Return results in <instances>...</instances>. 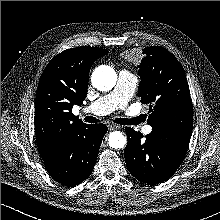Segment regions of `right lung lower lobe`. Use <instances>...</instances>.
Returning a JSON list of instances; mask_svg holds the SVG:
<instances>
[{"label": "right lung lower lobe", "mask_w": 220, "mask_h": 220, "mask_svg": "<svg viewBox=\"0 0 220 220\" xmlns=\"http://www.w3.org/2000/svg\"><path fill=\"white\" fill-rule=\"evenodd\" d=\"M104 124H87L77 129L59 146L42 158L50 176L64 186H74L89 177L102 139Z\"/></svg>", "instance_id": "98d812e1"}]
</instances>
